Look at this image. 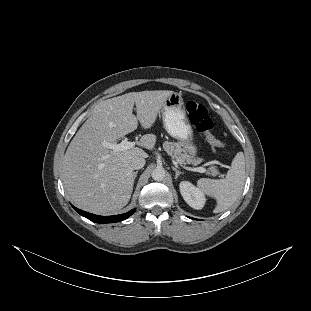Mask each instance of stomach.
<instances>
[{
	"label": "stomach",
	"mask_w": 311,
	"mask_h": 311,
	"mask_svg": "<svg viewBox=\"0 0 311 311\" xmlns=\"http://www.w3.org/2000/svg\"><path fill=\"white\" fill-rule=\"evenodd\" d=\"M161 116L166 132L172 138L183 142L188 147L187 152L195 157L197 147L193 143V128L186 115L181 93L174 92L166 99L161 108Z\"/></svg>",
	"instance_id": "1"
}]
</instances>
